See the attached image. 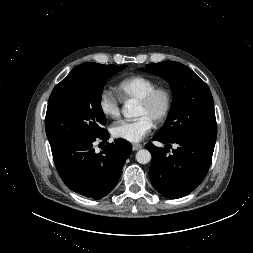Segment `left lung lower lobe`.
<instances>
[{"instance_id":"left-lung-lower-lobe-1","label":"left lung lower lobe","mask_w":253,"mask_h":253,"mask_svg":"<svg viewBox=\"0 0 253 253\" xmlns=\"http://www.w3.org/2000/svg\"><path fill=\"white\" fill-rule=\"evenodd\" d=\"M154 140L178 145L173 154L168 155L167 148H158L151 143L145 147L152 154L149 177L155 189L171 199L188 195L205 178L214 151L215 141L199 136H185L167 140L158 136Z\"/></svg>"}]
</instances>
